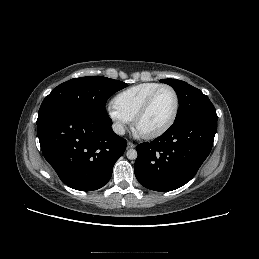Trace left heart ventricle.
Instances as JSON below:
<instances>
[{"mask_svg":"<svg viewBox=\"0 0 259 259\" xmlns=\"http://www.w3.org/2000/svg\"><path fill=\"white\" fill-rule=\"evenodd\" d=\"M175 106L174 94L170 89H161L155 96L152 105L140 121L138 129L150 133L161 128L171 117Z\"/></svg>","mask_w":259,"mask_h":259,"instance_id":"1","label":"left heart ventricle"}]
</instances>
